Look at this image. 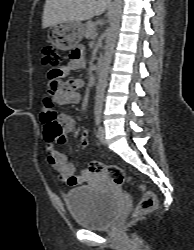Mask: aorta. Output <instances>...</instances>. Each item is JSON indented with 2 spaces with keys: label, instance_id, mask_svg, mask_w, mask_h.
I'll return each mask as SVG.
<instances>
[{
  "label": "aorta",
  "instance_id": "1",
  "mask_svg": "<svg viewBox=\"0 0 194 250\" xmlns=\"http://www.w3.org/2000/svg\"><path fill=\"white\" fill-rule=\"evenodd\" d=\"M122 8L123 0H114L112 13L110 16V27L108 29L106 38L105 51L101 61L100 71L98 75L94 106L95 113H101L102 111L110 63L112 60V55L114 53L115 43L120 27Z\"/></svg>",
  "mask_w": 194,
  "mask_h": 250
}]
</instances>
